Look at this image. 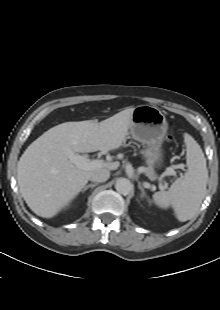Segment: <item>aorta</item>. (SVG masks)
<instances>
[{
	"instance_id": "obj_1",
	"label": "aorta",
	"mask_w": 220,
	"mask_h": 310,
	"mask_svg": "<svg viewBox=\"0 0 220 310\" xmlns=\"http://www.w3.org/2000/svg\"><path fill=\"white\" fill-rule=\"evenodd\" d=\"M115 189L118 193L123 194V195H127L132 190V183L130 182V180H128L126 178H119L116 181Z\"/></svg>"
}]
</instances>
